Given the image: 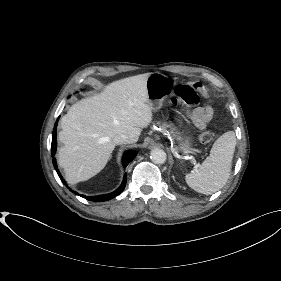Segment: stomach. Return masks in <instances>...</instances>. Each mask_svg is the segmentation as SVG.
I'll return each instance as SVG.
<instances>
[{"instance_id":"1","label":"stomach","mask_w":281,"mask_h":281,"mask_svg":"<svg viewBox=\"0 0 281 281\" xmlns=\"http://www.w3.org/2000/svg\"><path fill=\"white\" fill-rule=\"evenodd\" d=\"M173 81L167 75L159 72L151 73L147 79V103L151 110H158L165 98L168 97ZM179 149L185 151L189 147V139H181Z\"/></svg>"}]
</instances>
